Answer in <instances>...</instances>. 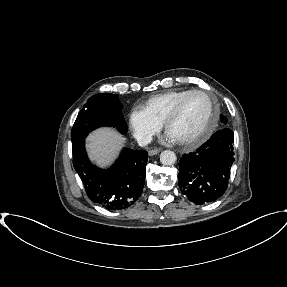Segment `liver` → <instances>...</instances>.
<instances>
[{
	"label": "liver",
	"mask_w": 287,
	"mask_h": 287,
	"mask_svg": "<svg viewBox=\"0 0 287 287\" xmlns=\"http://www.w3.org/2000/svg\"><path fill=\"white\" fill-rule=\"evenodd\" d=\"M86 140L91 160L100 167L109 166L125 142V138L111 128L97 129Z\"/></svg>",
	"instance_id": "obj_1"
}]
</instances>
